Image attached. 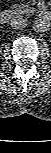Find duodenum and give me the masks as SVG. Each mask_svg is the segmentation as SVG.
Instances as JSON below:
<instances>
[{
    "label": "duodenum",
    "instance_id": "obj_1",
    "mask_svg": "<svg viewBox=\"0 0 51 153\" xmlns=\"http://www.w3.org/2000/svg\"><path fill=\"white\" fill-rule=\"evenodd\" d=\"M12 15H13L12 11L2 10L0 12V22L2 24L7 23L10 20V18L12 17ZM36 16L42 17V18L47 19V20H50V18H51L50 12L45 10V9L36 10Z\"/></svg>",
    "mask_w": 51,
    "mask_h": 153
}]
</instances>
